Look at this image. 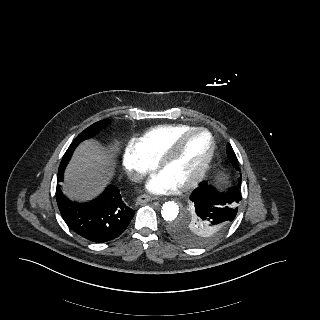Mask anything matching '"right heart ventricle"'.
Returning a JSON list of instances; mask_svg holds the SVG:
<instances>
[{
    "label": "right heart ventricle",
    "instance_id": "1",
    "mask_svg": "<svg viewBox=\"0 0 320 320\" xmlns=\"http://www.w3.org/2000/svg\"><path fill=\"white\" fill-rule=\"evenodd\" d=\"M192 128L187 124L159 125L145 131L134 144L147 158L156 162L180 134Z\"/></svg>",
    "mask_w": 320,
    "mask_h": 320
}]
</instances>
